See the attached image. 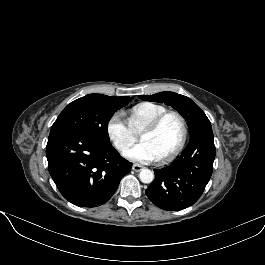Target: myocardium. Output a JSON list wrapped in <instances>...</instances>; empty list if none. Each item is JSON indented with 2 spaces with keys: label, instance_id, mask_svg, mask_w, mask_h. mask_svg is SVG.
<instances>
[{
  "label": "myocardium",
  "instance_id": "myocardium-1",
  "mask_svg": "<svg viewBox=\"0 0 265 265\" xmlns=\"http://www.w3.org/2000/svg\"><path fill=\"white\" fill-rule=\"evenodd\" d=\"M169 116H176L180 120L181 125H182V137H181L179 143L176 145V147H174L168 153H166L160 157H157L155 159L158 162H163V161H166V160L176 156L184 148V146L187 142V139H188V134H189V128H188V123H187L186 118L184 117L183 114H181L178 111L168 110V111L162 113L161 115H159L158 117H156L154 120L149 122L147 125H145L141 129V132H153Z\"/></svg>",
  "mask_w": 265,
  "mask_h": 265
}]
</instances>
